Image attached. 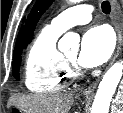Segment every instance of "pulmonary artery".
I'll list each match as a JSON object with an SVG mask.
<instances>
[{
    "instance_id": "obj_1",
    "label": "pulmonary artery",
    "mask_w": 123,
    "mask_h": 113,
    "mask_svg": "<svg viewBox=\"0 0 123 113\" xmlns=\"http://www.w3.org/2000/svg\"><path fill=\"white\" fill-rule=\"evenodd\" d=\"M94 7L89 4H80L70 7L55 17L50 26L64 32L72 26L86 24L92 19Z\"/></svg>"
}]
</instances>
